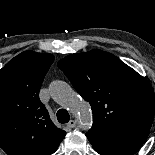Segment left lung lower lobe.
<instances>
[{"label":"left lung lower lobe","mask_w":155,"mask_h":155,"mask_svg":"<svg viewBox=\"0 0 155 155\" xmlns=\"http://www.w3.org/2000/svg\"><path fill=\"white\" fill-rule=\"evenodd\" d=\"M150 129H127L111 133L87 132L86 136L101 155H133L144 144Z\"/></svg>","instance_id":"0a47b994"}]
</instances>
